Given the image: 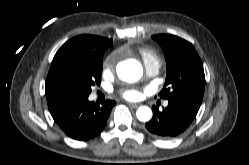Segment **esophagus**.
I'll return each instance as SVG.
<instances>
[{"mask_svg":"<svg viewBox=\"0 0 249 165\" xmlns=\"http://www.w3.org/2000/svg\"><path fill=\"white\" fill-rule=\"evenodd\" d=\"M127 105L129 107H132V108H138L139 107V104H137V103H127Z\"/></svg>","mask_w":249,"mask_h":165,"instance_id":"obj_1","label":"esophagus"}]
</instances>
